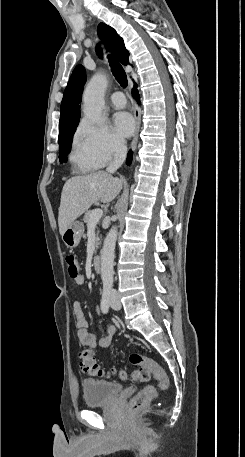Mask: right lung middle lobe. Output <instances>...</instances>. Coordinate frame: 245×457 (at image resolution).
Wrapping results in <instances>:
<instances>
[{"mask_svg":"<svg viewBox=\"0 0 245 457\" xmlns=\"http://www.w3.org/2000/svg\"><path fill=\"white\" fill-rule=\"evenodd\" d=\"M78 122L71 123L69 125H65L60 127L59 132V160L60 162L66 161V156L70 152L71 149V140L72 136L76 130Z\"/></svg>","mask_w":245,"mask_h":457,"instance_id":"right-lung-middle-lobe-1","label":"right lung middle lobe"}]
</instances>
